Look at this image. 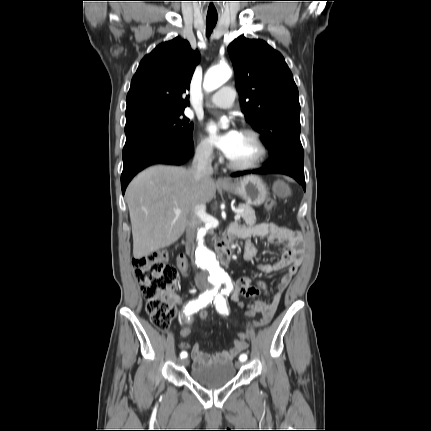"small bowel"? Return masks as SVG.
<instances>
[{"mask_svg": "<svg viewBox=\"0 0 431 431\" xmlns=\"http://www.w3.org/2000/svg\"><path fill=\"white\" fill-rule=\"evenodd\" d=\"M233 231L236 236L241 238L251 237H267L271 244H284L285 248L281 258L273 264H258L257 269L265 274H271L282 269L286 272L281 277L277 284L276 293L271 297L267 284L257 278L251 276H242L235 283L231 282L230 296L232 301L239 306H244L241 298H256L264 294L269 303L261 300H256L249 304L246 312L255 310L259 319L254 322V327L259 328L267 325L272 319L281 301V296L292 277L295 275L302 261V251L300 249L301 235L298 232L277 226L271 222H263L254 226H233ZM257 254V249L254 245L247 242L244 251V258L252 260ZM178 267L184 276H187V265L183 259H177ZM169 300L172 305H181L182 301L176 294L170 293ZM183 329V328H182ZM250 338V333H246V338L243 341L235 340L228 350L211 353L204 350L199 344H195L191 350V358L194 366H205L213 363L232 361L239 353L247 348V340ZM180 347L185 349L187 343H181ZM182 352H186L185 350ZM187 353V352H186Z\"/></svg>", "mask_w": 431, "mask_h": 431, "instance_id": "obj_1", "label": "small bowel"}]
</instances>
